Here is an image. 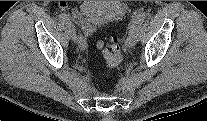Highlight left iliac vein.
Listing matches in <instances>:
<instances>
[{
	"label": "left iliac vein",
	"instance_id": "1",
	"mask_svg": "<svg viewBox=\"0 0 207 121\" xmlns=\"http://www.w3.org/2000/svg\"><path fill=\"white\" fill-rule=\"evenodd\" d=\"M139 34H140L139 29L131 31L125 42L126 46L129 48L135 46V44L139 40Z\"/></svg>",
	"mask_w": 207,
	"mask_h": 121
}]
</instances>
